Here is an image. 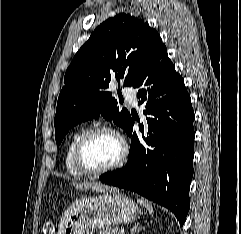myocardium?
<instances>
[{"instance_id": "obj_1", "label": "myocardium", "mask_w": 241, "mask_h": 234, "mask_svg": "<svg viewBox=\"0 0 241 234\" xmlns=\"http://www.w3.org/2000/svg\"><path fill=\"white\" fill-rule=\"evenodd\" d=\"M98 133H110L114 135L121 144V153L119 158L113 164L99 169H92L85 164L83 153L88 141ZM128 154L129 148L127 142L117 131L108 126H97L85 131V133L81 136L75 148L74 160L77 168L83 174L88 176H99L120 168L126 162Z\"/></svg>"}]
</instances>
